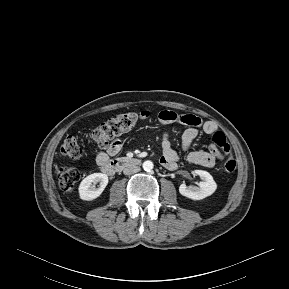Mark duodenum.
<instances>
[{
  "label": "duodenum",
  "instance_id": "obj_1",
  "mask_svg": "<svg viewBox=\"0 0 289 289\" xmlns=\"http://www.w3.org/2000/svg\"><path fill=\"white\" fill-rule=\"evenodd\" d=\"M141 163L140 159L134 157H121L115 160L108 161L101 166L104 173L112 175L118 171H122L129 167L138 166Z\"/></svg>",
  "mask_w": 289,
  "mask_h": 289
}]
</instances>
